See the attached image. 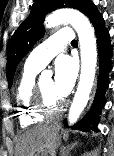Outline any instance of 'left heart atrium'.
<instances>
[{
  "instance_id": "left-heart-atrium-1",
  "label": "left heart atrium",
  "mask_w": 114,
  "mask_h": 156,
  "mask_svg": "<svg viewBox=\"0 0 114 156\" xmlns=\"http://www.w3.org/2000/svg\"><path fill=\"white\" fill-rule=\"evenodd\" d=\"M78 73V65L74 58L62 56L55 63L53 92L61 100L72 91Z\"/></svg>"
}]
</instances>
